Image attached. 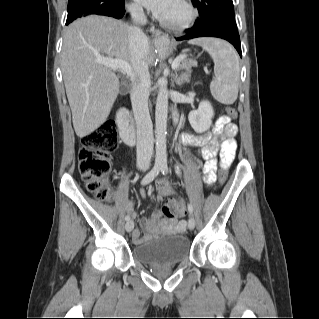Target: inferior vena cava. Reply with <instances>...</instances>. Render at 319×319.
Returning <instances> with one entry per match:
<instances>
[{
	"instance_id": "obj_1",
	"label": "inferior vena cava",
	"mask_w": 319,
	"mask_h": 319,
	"mask_svg": "<svg viewBox=\"0 0 319 319\" xmlns=\"http://www.w3.org/2000/svg\"><path fill=\"white\" fill-rule=\"evenodd\" d=\"M134 23L145 24L146 18L143 8L139 4L128 7ZM129 48L131 51V65L138 83H133L130 91L132 109L137 128V166L148 169L153 154V126L148 109L147 83L148 71V40L138 26L129 27Z\"/></svg>"
}]
</instances>
